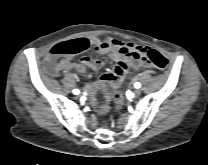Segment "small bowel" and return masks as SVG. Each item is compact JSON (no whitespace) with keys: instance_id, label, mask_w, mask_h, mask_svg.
<instances>
[{"instance_id":"obj_1","label":"small bowel","mask_w":208,"mask_h":165,"mask_svg":"<svg viewBox=\"0 0 208 165\" xmlns=\"http://www.w3.org/2000/svg\"><path fill=\"white\" fill-rule=\"evenodd\" d=\"M89 46L93 48L98 55H109L115 62L114 68L102 75L98 87L105 91L107 96L114 93L125 80L131 68L147 66L142 51L145 47L134 42H123L114 38L99 39L93 38L86 40ZM104 66V61L92 59L84 56L80 59V63L71 62L68 59L62 60L60 68L64 71L76 70L79 74L84 75L87 70L96 71ZM94 88L88 87V91L92 92ZM97 109L100 113H106L108 106L106 100H95Z\"/></svg>"}]
</instances>
